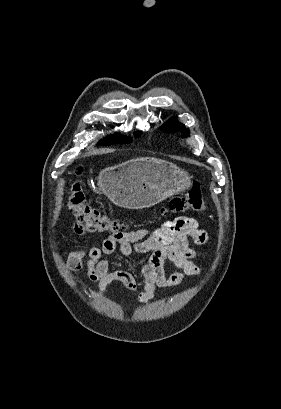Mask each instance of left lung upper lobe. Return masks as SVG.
I'll return each mask as SVG.
<instances>
[{
  "label": "left lung upper lobe",
  "instance_id": "5c2ea615",
  "mask_svg": "<svg viewBox=\"0 0 281 409\" xmlns=\"http://www.w3.org/2000/svg\"><path fill=\"white\" fill-rule=\"evenodd\" d=\"M161 130L166 132H176L180 130L183 137H187L189 135V130L185 128L183 124L178 123L175 119H170L167 123L163 124L161 126Z\"/></svg>",
  "mask_w": 281,
  "mask_h": 409
}]
</instances>
